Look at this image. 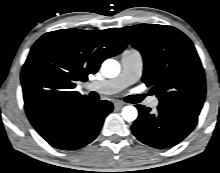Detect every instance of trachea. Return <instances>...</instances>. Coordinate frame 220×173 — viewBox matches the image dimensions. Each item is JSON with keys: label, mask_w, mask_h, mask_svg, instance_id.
Segmentation results:
<instances>
[{"label": "trachea", "mask_w": 220, "mask_h": 173, "mask_svg": "<svg viewBox=\"0 0 220 173\" xmlns=\"http://www.w3.org/2000/svg\"><path fill=\"white\" fill-rule=\"evenodd\" d=\"M145 98V94L141 95H130L125 98V101L128 103H139Z\"/></svg>", "instance_id": "3493384b"}]
</instances>
